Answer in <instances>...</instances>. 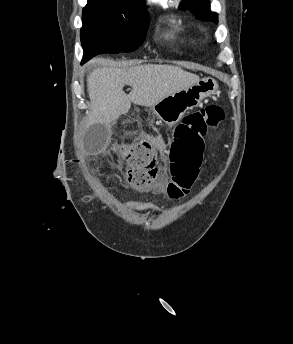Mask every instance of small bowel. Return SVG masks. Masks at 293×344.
<instances>
[{
  "instance_id": "obj_1",
  "label": "small bowel",
  "mask_w": 293,
  "mask_h": 344,
  "mask_svg": "<svg viewBox=\"0 0 293 344\" xmlns=\"http://www.w3.org/2000/svg\"><path fill=\"white\" fill-rule=\"evenodd\" d=\"M142 137H144V135H141ZM150 140L153 141L154 146L156 148V150H158L159 152H164L166 150V144L164 143L163 139L161 137H148ZM156 166L154 164L153 168H152V174L153 171L155 170ZM200 169L198 170L199 173ZM132 209H135L137 211H147L151 208L150 204L148 202H137L134 203L130 206Z\"/></svg>"
}]
</instances>
